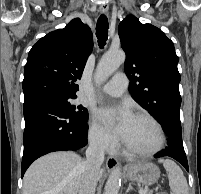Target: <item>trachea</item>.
Wrapping results in <instances>:
<instances>
[{"mask_svg":"<svg viewBox=\"0 0 201 194\" xmlns=\"http://www.w3.org/2000/svg\"><path fill=\"white\" fill-rule=\"evenodd\" d=\"M108 19L102 14L97 21L96 25V36L98 38V44L102 48L106 45V40L108 39Z\"/></svg>","mask_w":201,"mask_h":194,"instance_id":"obj_1","label":"trachea"}]
</instances>
